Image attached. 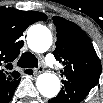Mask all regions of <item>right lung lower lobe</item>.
I'll use <instances>...</instances> for the list:
<instances>
[{"label":"right lung lower lobe","mask_w":103,"mask_h":103,"mask_svg":"<svg viewBox=\"0 0 103 103\" xmlns=\"http://www.w3.org/2000/svg\"><path fill=\"white\" fill-rule=\"evenodd\" d=\"M19 82L14 83V85L11 88H9L7 91H3L0 93V103H8L11 100Z\"/></svg>","instance_id":"right-lung-lower-lobe-1"}]
</instances>
